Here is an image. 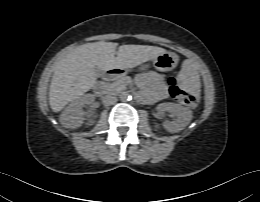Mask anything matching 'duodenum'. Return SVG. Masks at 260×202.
<instances>
[{
	"mask_svg": "<svg viewBox=\"0 0 260 202\" xmlns=\"http://www.w3.org/2000/svg\"><path fill=\"white\" fill-rule=\"evenodd\" d=\"M123 74V70L117 67H112L109 68L105 74H104V82H108L110 80L115 79L116 77L120 76ZM97 90H101V85H97L95 87Z\"/></svg>",
	"mask_w": 260,
	"mask_h": 202,
	"instance_id": "duodenum-1",
	"label": "duodenum"
}]
</instances>
